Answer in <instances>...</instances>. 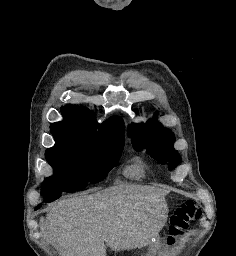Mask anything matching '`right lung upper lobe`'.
Wrapping results in <instances>:
<instances>
[{"label":"right lung upper lobe","mask_w":236,"mask_h":256,"mask_svg":"<svg viewBox=\"0 0 236 256\" xmlns=\"http://www.w3.org/2000/svg\"><path fill=\"white\" fill-rule=\"evenodd\" d=\"M61 112L64 120L51 124L52 133L64 132L92 139L124 142L123 121L119 117L98 124L92 112L83 106L66 105Z\"/></svg>","instance_id":"1"}]
</instances>
